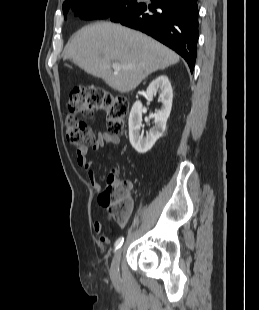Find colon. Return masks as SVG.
Segmentation results:
<instances>
[{
	"mask_svg": "<svg viewBox=\"0 0 259 310\" xmlns=\"http://www.w3.org/2000/svg\"><path fill=\"white\" fill-rule=\"evenodd\" d=\"M128 109L126 98L102 87L83 85L74 88L68 98L65 119L68 140L78 147L93 145L95 136L79 115L93 116L98 112L104 114L109 134H120L124 129ZM98 203L109 218L123 220L131 206V193L127 183L116 182L114 175H109L108 186L99 194Z\"/></svg>",
	"mask_w": 259,
	"mask_h": 310,
	"instance_id": "obj_1",
	"label": "colon"
}]
</instances>
